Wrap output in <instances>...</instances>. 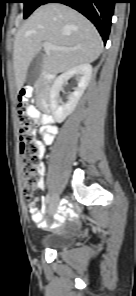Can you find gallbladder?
Masks as SVG:
<instances>
[{
	"label": "gallbladder",
	"mask_w": 136,
	"mask_h": 296,
	"mask_svg": "<svg viewBox=\"0 0 136 296\" xmlns=\"http://www.w3.org/2000/svg\"><path fill=\"white\" fill-rule=\"evenodd\" d=\"M43 63V54H37L31 63L29 64L27 74H26V81L33 84L37 81L41 73V67Z\"/></svg>",
	"instance_id": "obj_1"
}]
</instances>
